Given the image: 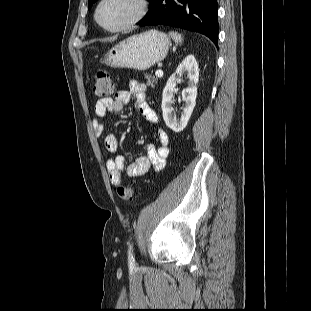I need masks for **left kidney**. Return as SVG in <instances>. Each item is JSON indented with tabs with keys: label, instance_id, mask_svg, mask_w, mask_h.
Here are the masks:
<instances>
[{
	"label": "left kidney",
	"instance_id": "5707ae66",
	"mask_svg": "<svg viewBox=\"0 0 311 311\" xmlns=\"http://www.w3.org/2000/svg\"><path fill=\"white\" fill-rule=\"evenodd\" d=\"M188 73V87L182 91V99L185 101V107L181 113L180 118L173 115V98L176 83L179 78ZM199 78L198 64L193 55H188L182 63L177 67L175 73H173L168 79L166 86L163 90L162 98V112L165 124L174 132H181L186 126L191 117L193 109L195 107V101L197 97V83Z\"/></svg>",
	"mask_w": 311,
	"mask_h": 311
}]
</instances>
